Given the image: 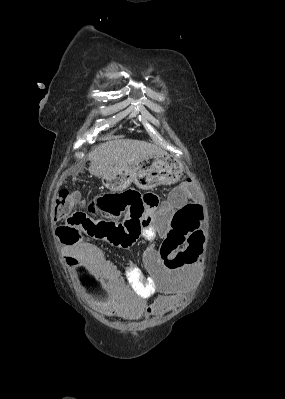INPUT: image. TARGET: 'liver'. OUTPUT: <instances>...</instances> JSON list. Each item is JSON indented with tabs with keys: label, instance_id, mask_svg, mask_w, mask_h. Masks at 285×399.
Wrapping results in <instances>:
<instances>
[{
	"label": "liver",
	"instance_id": "liver-1",
	"mask_svg": "<svg viewBox=\"0 0 285 399\" xmlns=\"http://www.w3.org/2000/svg\"><path fill=\"white\" fill-rule=\"evenodd\" d=\"M163 153L161 148L145 141L111 140L100 144L89 153V172L96 177H103L115 170L134 167L151 156Z\"/></svg>",
	"mask_w": 285,
	"mask_h": 399
}]
</instances>
